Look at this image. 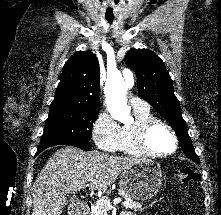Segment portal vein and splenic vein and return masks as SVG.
Returning <instances> with one entry per match:
<instances>
[{
  "mask_svg": "<svg viewBox=\"0 0 221 215\" xmlns=\"http://www.w3.org/2000/svg\"><path fill=\"white\" fill-rule=\"evenodd\" d=\"M121 201H122L121 198H115L113 200V203L117 204V203H120ZM97 202H100V203L104 202L107 206H109V207L111 206L110 201L109 200H105L104 197H100Z\"/></svg>",
  "mask_w": 221,
  "mask_h": 215,
  "instance_id": "obj_1",
  "label": "portal vein and splenic vein"
}]
</instances>
